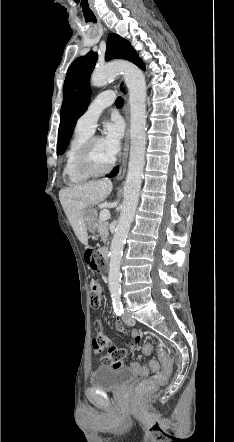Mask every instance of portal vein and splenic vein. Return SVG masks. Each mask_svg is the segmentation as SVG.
I'll list each match as a JSON object with an SVG mask.
<instances>
[{"label": "portal vein and splenic vein", "mask_w": 234, "mask_h": 442, "mask_svg": "<svg viewBox=\"0 0 234 442\" xmlns=\"http://www.w3.org/2000/svg\"><path fill=\"white\" fill-rule=\"evenodd\" d=\"M100 219L102 220V221H106V220H108L109 218H110V211L108 210V209H103L101 212H100Z\"/></svg>", "instance_id": "1"}]
</instances>
